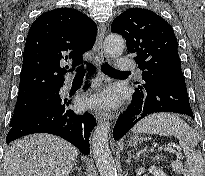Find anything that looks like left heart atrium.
Instances as JSON below:
<instances>
[{
    "label": "left heart atrium",
    "instance_id": "obj_1",
    "mask_svg": "<svg viewBox=\"0 0 205 176\" xmlns=\"http://www.w3.org/2000/svg\"><path fill=\"white\" fill-rule=\"evenodd\" d=\"M116 99H117V95L115 93H109L106 96H104L102 99H99L96 97H90V98L86 99L84 101V103L86 105L93 106V105L98 104V103H112V102L116 101Z\"/></svg>",
    "mask_w": 205,
    "mask_h": 176
}]
</instances>
